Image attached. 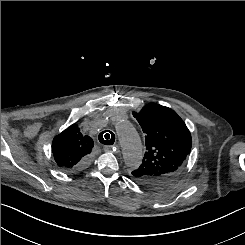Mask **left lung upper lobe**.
<instances>
[{"label":"left lung upper lobe","instance_id":"obj_1","mask_svg":"<svg viewBox=\"0 0 245 245\" xmlns=\"http://www.w3.org/2000/svg\"><path fill=\"white\" fill-rule=\"evenodd\" d=\"M145 133L146 152L132 178L147 187H158L174 179L191 151V134L172 109L159 104L145 105L133 112Z\"/></svg>","mask_w":245,"mask_h":245}]
</instances>
